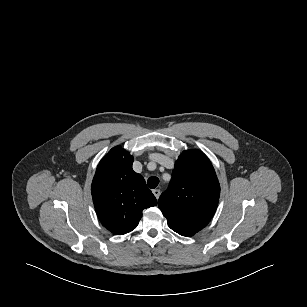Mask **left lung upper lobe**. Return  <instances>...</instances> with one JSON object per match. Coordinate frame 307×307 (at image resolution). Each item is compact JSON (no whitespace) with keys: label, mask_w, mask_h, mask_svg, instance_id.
<instances>
[{"label":"left lung upper lobe","mask_w":307,"mask_h":307,"mask_svg":"<svg viewBox=\"0 0 307 307\" xmlns=\"http://www.w3.org/2000/svg\"><path fill=\"white\" fill-rule=\"evenodd\" d=\"M219 195V182L210 160L199 150H188L178 157L158 206L169 227L189 237L209 223Z\"/></svg>","instance_id":"5c2ea615"}]
</instances>
